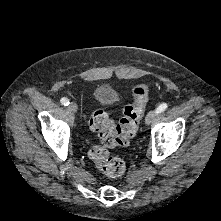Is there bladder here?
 I'll list each match as a JSON object with an SVG mask.
<instances>
[{
  "label": "bladder",
  "instance_id": "31cf9c89",
  "mask_svg": "<svg viewBox=\"0 0 221 221\" xmlns=\"http://www.w3.org/2000/svg\"><path fill=\"white\" fill-rule=\"evenodd\" d=\"M117 96L116 91L109 85H99L93 91L94 99L100 104H108Z\"/></svg>",
  "mask_w": 221,
  "mask_h": 221
}]
</instances>
